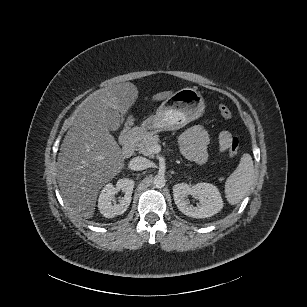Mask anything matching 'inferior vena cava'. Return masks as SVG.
<instances>
[{
	"label": "inferior vena cava",
	"mask_w": 307,
	"mask_h": 307,
	"mask_svg": "<svg viewBox=\"0 0 307 307\" xmlns=\"http://www.w3.org/2000/svg\"><path fill=\"white\" fill-rule=\"evenodd\" d=\"M130 164L134 170H142L148 167L149 160L143 156H137L131 159Z\"/></svg>",
	"instance_id": "1"
}]
</instances>
